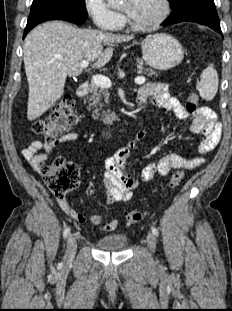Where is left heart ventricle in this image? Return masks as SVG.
Instances as JSON below:
<instances>
[{
	"instance_id": "obj_1",
	"label": "left heart ventricle",
	"mask_w": 232,
	"mask_h": 311,
	"mask_svg": "<svg viewBox=\"0 0 232 311\" xmlns=\"http://www.w3.org/2000/svg\"><path fill=\"white\" fill-rule=\"evenodd\" d=\"M129 2H125L128 6ZM160 11L158 0H139L135 12L130 15L133 22L137 24H147L153 21Z\"/></svg>"
}]
</instances>
